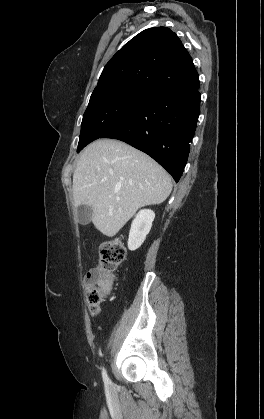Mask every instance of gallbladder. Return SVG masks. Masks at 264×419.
<instances>
[{
	"label": "gallbladder",
	"mask_w": 264,
	"mask_h": 419,
	"mask_svg": "<svg viewBox=\"0 0 264 419\" xmlns=\"http://www.w3.org/2000/svg\"><path fill=\"white\" fill-rule=\"evenodd\" d=\"M92 208L90 206H86V205H80L77 208V216H78V221L80 224L82 225H87L90 223L91 221V217H92Z\"/></svg>",
	"instance_id": "gallbladder-1"
}]
</instances>
